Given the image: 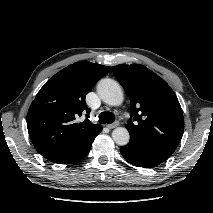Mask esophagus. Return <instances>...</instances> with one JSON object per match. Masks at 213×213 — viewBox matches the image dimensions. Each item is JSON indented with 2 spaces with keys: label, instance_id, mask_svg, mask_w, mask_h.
<instances>
[{
  "label": "esophagus",
  "instance_id": "obj_1",
  "mask_svg": "<svg viewBox=\"0 0 213 213\" xmlns=\"http://www.w3.org/2000/svg\"><path fill=\"white\" fill-rule=\"evenodd\" d=\"M119 126V122H114V123H112V124H108L107 125V127L109 128V129H113V128H116V127H118Z\"/></svg>",
  "mask_w": 213,
  "mask_h": 213
}]
</instances>
